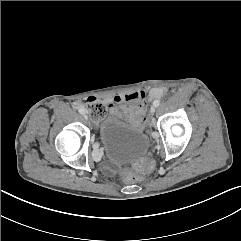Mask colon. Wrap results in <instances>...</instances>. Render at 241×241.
Listing matches in <instances>:
<instances>
[{
	"mask_svg": "<svg viewBox=\"0 0 241 241\" xmlns=\"http://www.w3.org/2000/svg\"><path fill=\"white\" fill-rule=\"evenodd\" d=\"M84 108L94 119H101L108 113V106L100 100L89 97L84 102ZM152 165L149 161H140L135 165L133 170H125L124 178L130 182H137L142 179L145 173L150 172Z\"/></svg>",
	"mask_w": 241,
	"mask_h": 241,
	"instance_id": "colon-1",
	"label": "colon"
}]
</instances>
